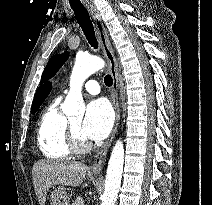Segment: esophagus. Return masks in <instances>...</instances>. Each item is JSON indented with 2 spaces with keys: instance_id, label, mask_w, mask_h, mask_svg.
<instances>
[{
  "instance_id": "34e87169",
  "label": "esophagus",
  "mask_w": 212,
  "mask_h": 205,
  "mask_svg": "<svg viewBox=\"0 0 212 205\" xmlns=\"http://www.w3.org/2000/svg\"><path fill=\"white\" fill-rule=\"evenodd\" d=\"M87 8L92 15V18L94 20V25L96 29V33L99 39V42L101 44L102 50L104 52V55L108 61L109 65V70L113 79V84H112V101H113V106L115 109V123L113 126V129L111 131V134L109 135L108 139L106 142L103 144V146L99 149L97 152L93 165L90 168V172L92 174H100L105 162L106 154L111 146V143L115 137V134L118 129L119 121H120V106L118 102V87H119V82H118V62L114 54L113 47L110 43L109 37L107 35L106 28L104 27V24L102 22L101 16L96 11V9L91 5L87 4Z\"/></svg>"
}]
</instances>
